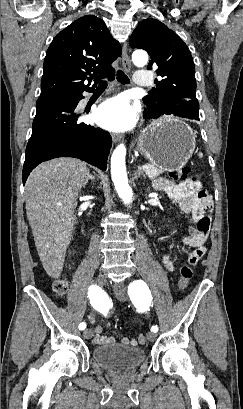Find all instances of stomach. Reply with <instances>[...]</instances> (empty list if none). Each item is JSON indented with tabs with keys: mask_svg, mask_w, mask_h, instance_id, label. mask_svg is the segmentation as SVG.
<instances>
[{
	"mask_svg": "<svg viewBox=\"0 0 243 409\" xmlns=\"http://www.w3.org/2000/svg\"><path fill=\"white\" fill-rule=\"evenodd\" d=\"M196 135L175 117H164L141 131L136 149L164 171L182 168L195 150Z\"/></svg>",
	"mask_w": 243,
	"mask_h": 409,
	"instance_id": "0dacf381",
	"label": "stomach"
}]
</instances>
